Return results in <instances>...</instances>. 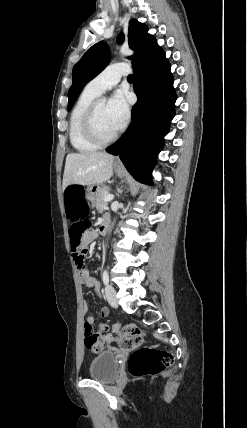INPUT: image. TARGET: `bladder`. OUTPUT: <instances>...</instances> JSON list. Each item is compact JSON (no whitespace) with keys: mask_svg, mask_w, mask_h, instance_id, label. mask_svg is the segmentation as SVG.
I'll return each mask as SVG.
<instances>
[{"mask_svg":"<svg viewBox=\"0 0 247 428\" xmlns=\"http://www.w3.org/2000/svg\"><path fill=\"white\" fill-rule=\"evenodd\" d=\"M118 358L113 351L103 350L96 354L89 366V377L101 383L113 381L118 373Z\"/></svg>","mask_w":247,"mask_h":428,"instance_id":"31cf9c89","label":"bladder"}]
</instances>
